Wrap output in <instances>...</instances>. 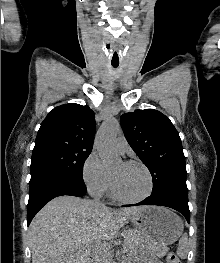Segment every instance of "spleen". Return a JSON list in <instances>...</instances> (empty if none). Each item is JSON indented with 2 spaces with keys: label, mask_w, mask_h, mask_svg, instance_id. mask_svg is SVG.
Masks as SVG:
<instances>
[{
  "label": "spleen",
  "mask_w": 220,
  "mask_h": 263,
  "mask_svg": "<svg viewBox=\"0 0 220 263\" xmlns=\"http://www.w3.org/2000/svg\"><path fill=\"white\" fill-rule=\"evenodd\" d=\"M187 251H188V236L187 234H184L179 241L177 253L180 257L185 258Z\"/></svg>",
  "instance_id": "obj_1"
}]
</instances>
